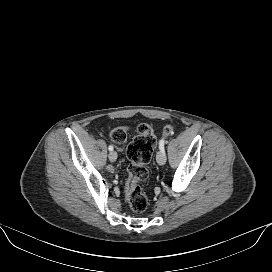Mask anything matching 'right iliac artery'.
I'll return each instance as SVG.
<instances>
[{
  "mask_svg": "<svg viewBox=\"0 0 272 272\" xmlns=\"http://www.w3.org/2000/svg\"><path fill=\"white\" fill-rule=\"evenodd\" d=\"M108 149H109V151H112V150H113V146L110 145V146L108 147Z\"/></svg>",
  "mask_w": 272,
  "mask_h": 272,
  "instance_id": "1",
  "label": "right iliac artery"
}]
</instances>
